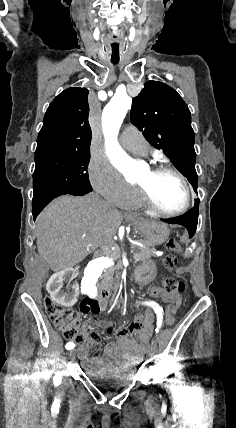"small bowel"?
Instances as JSON below:
<instances>
[{
    "mask_svg": "<svg viewBox=\"0 0 236 428\" xmlns=\"http://www.w3.org/2000/svg\"><path fill=\"white\" fill-rule=\"evenodd\" d=\"M151 295L154 297H165L166 301L170 304L177 303L179 301L178 296L166 294L160 288L152 289ZM147 302L149 303L148 310L141 316L142 326L135 327L132 324L122 326L115 333V340L105 346L104 353L108 358L122 361H139L143 358L144 347L150 335L151 323L155 312H163L162 306L156 301L148 300ZM106 308V303H102L100 305V310L105 311ZM104 326L107 333L112 332L113 328L111 323L107 322ZM91 336L93 339H98V335L95 333H92ZM79 358L84 363L92 365L99 364V360L97 358L89 357L88 348L86 346L80 348Z\"/></svg>",
    "mask_w": 236,
    "mask_h": 428,
    "instance_id": "1",
    "label": "small bowel"
}]
</instances>
